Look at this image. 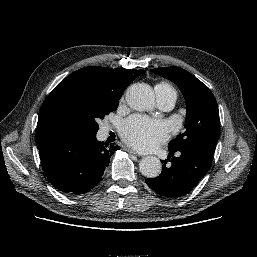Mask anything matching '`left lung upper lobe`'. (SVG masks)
Wrapping results in <instances>:
<instances>
[{"mask_svg": "<svg viewBox=\"0 0 257 257\" xmlns=\"http://www.w3.org/2000/svg\"><path fill=\"white\" fill-rule=\"evenodd\" d=\"M152 71L173 81L186 101L185 132L172 140L169 148L201 147L214 153L220 137V120L217 102L210 89L179 67H160Z\"/></svg>", "mask_w": 257, "mask_h": 257, "instance_id": "5c2ea615", "label": "left lung upper lobe"}]
</instances>
